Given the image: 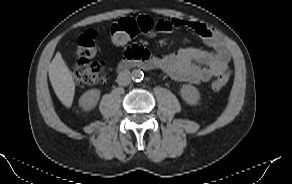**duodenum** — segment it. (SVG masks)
I'll return each instance as SVG.
<instances>
[{"label": "duodenum", "mask_w": 292, "mask_h": 184, "mask_svg": "<svg viewBox=\"0 0 292 184\" xmlns=\"http://www.w3.org/2000/svg\"><path fill=\"white\" fill-rule=\"evenodd\" d=\"M131 65H135L140 69H151L158 65V60L150 53L139 48L131 49L127 51L126 59L118 65V71L122 72Z\"/></svg>", "instance_id": "duodenum-1"}]
</instances>
